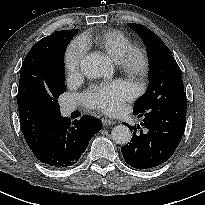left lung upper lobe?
Here are the masks:
<instances>
[{"instance_id": "obj_1", "label": "left lung upper lobe", "mask_w": 205, "mask_h": 205, "mask_svg": "<svg viewBox=\"0 0 205 205\" xmlns=\"http://www.w3.org/2000/svg\"><path fill=\"white\" fill-rule=\"evenodd\" d=\"M130 26L142 37L149 59L148 89L135 102L133 114L171 99H186L180 68L168 47L145 26L135 23Z\"/></svg>"}]
</instances>
